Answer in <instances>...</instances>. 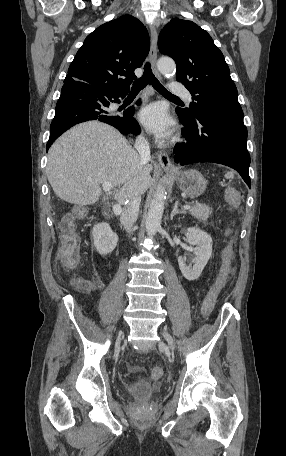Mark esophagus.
Segmentation results:
<instances>
[{"instance_id":"esophagus-1","label":"esophagus","mask_w":286,"mask_h":456,"mask_svg":"<svg viewBox=\"0 0 286 456\" xmlns=\"http://www.w3.org/2000/svg\"><path fill=\"white\" fill-rule=\"evenodd\" d=\"M150 33H151V46L149 52V58L152 65V69L154 74L157 77H160V74L156 67L157 61V31L154 25L150 26ZM157 157L159 160L160 165L163 167L164 170L173 172L175 171V167L172 165L168 154L164 150H159L157 152Z\"/></svg>"}]
</instances>
